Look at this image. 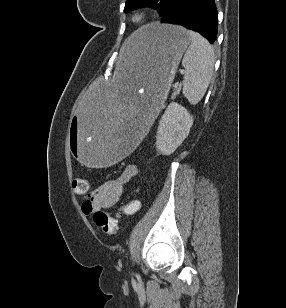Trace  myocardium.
Instances as JSON below:
<instances>
[{"label": "myocardium", "instance_id": "f54148a6", "mask_svg": "<svg viewBox=\"0 0 286 308\" xmlns=\"http://www.w3.org/2000/svg\"><path fill=\"white\" fill-rule=\"evenodd\" d=\"M147 18V13L145 11H135L131 15V21L136 24L143 23Z\"/></svg>", "mask_w": 286, "mask_h": 308}]
</instances>
